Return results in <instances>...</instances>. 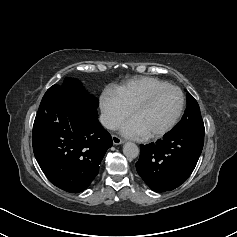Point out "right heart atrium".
<instances>
[{"label": "right heart atrium", "instance_id": "obj_1", "mask_svg": "<svg viewBox=\"0 0 237 237\" xmlns=\"http://www.w3.org/2000/svg\"><path fill=\"white\" fill-rule=\"evenodd\" d=\"M100 109L102 123L110 130L116 129L129 115V110L125 108L110 89L101 95Z\"/></svg>", "mask_w": 237, "mask_h": 237}]
</instances>
